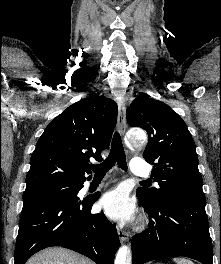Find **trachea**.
<instances>
[{"label": "trachea", "instance_id": "obj_1", "mask_svg": "<svg viewBox=\"0 0 221 264\" xmlns=\"http://www.w3.org/2000/svg\"><path fill=\"white\" fill-rule=\"evenodd\" d=\"M117 162L119 168L126 171L127 170V162L126 156L124 153V148L122 144V140L120 134L118 132L114 133L111 151L108 157L100 164L94 165L91 167L95 176L105 175ZM142 183H148V181H142Z\"/></svg>", "mask_w": 221, "mask_h": 264}]
</instances>
